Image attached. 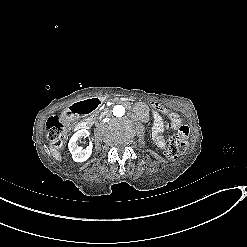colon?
Instances as JSON below:
<instances>
[{"label": "colon", "instance_id": "5ec220e1", "mask_svg": "<svg viewBox=\"0 0 247 247\" xmlns=\"http://www.w3.org/2000/svg\"><path fill=\"white\" fill-rule=\"evenodd\" d=\"M144 106L148 110H155L161 115L167 113L166 107L158 100L148 99L145 101ZM46 131L50 140L51 145L59 153L63 151V139L67 131V127L60 119L56 116L50 117L46 123ZM189 139V129L185 126H182L178 129V133L173 137L166 148V155L170 160H174L178 157L181 150L186 147Z\"/></svg>", "mask_w": 247, "mask_h": 247}]
</instances>
